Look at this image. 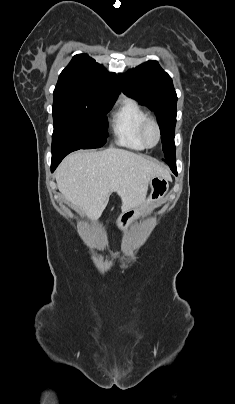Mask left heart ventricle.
<instances>
[{"instance_id":"1","label":"left heart ventricle","mask_w":235,"mask_h":404,"mask_svg":"<svg viewBox=\"0 0 235 404\" xmlns=\"http://www.w3.org/2000/svg\"><path fill=\"white\" fill-rule=\"evenodd\" d=\"M156 138H157V135H156L155 128L152 127V126L149 127L147 132H146V139H147L148 143L149 144H155Z\"/></svg>"}]
</instances>
